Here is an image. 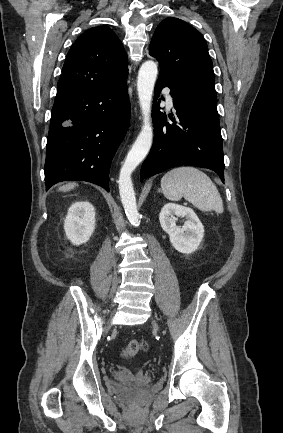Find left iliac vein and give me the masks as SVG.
<instances>
[{"instance_id":"1","label":"left iliac vein","mask_w":283,"mask_h":433,"mask_svg":"<svg viewBox=\"0 0 283 433\" xmlns=\"http://www.w3.org/2000/svg\"><path fill=\"white\" fill-rule=\"evenodd\" d=\"M153 327H154L155 329H158V324H157L156 322H153Z\"/></svg>"}]
</instances>
